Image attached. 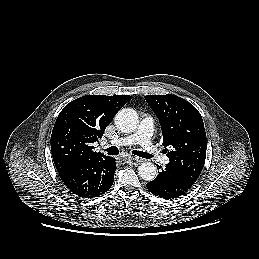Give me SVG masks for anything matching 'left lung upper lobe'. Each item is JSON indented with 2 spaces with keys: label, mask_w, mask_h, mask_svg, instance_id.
Returning <instances> with one entry per match:
<instances>
[{
  "label": "left lung upper lobe",
  "mask_w": 259,
  "mask_h": 259,
  "mask_svg": "<svg viewBox=\"0 0 259 259\" xmlns=\"http://www.w3.org/2000/svg\"><path fill=\"white\" fill-rule=\"evenodd\" d=\"M145 99L160 121L163 145L173 147L167 155L168 165L195 182L204 167L207 148L199 111L172 94L147 95Z\"/></svg>",
  "instance_id": "5c2ea615"
}]
</instances>
